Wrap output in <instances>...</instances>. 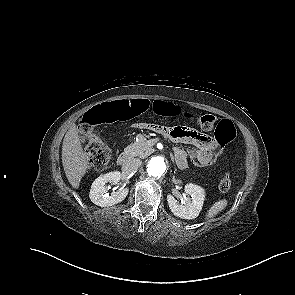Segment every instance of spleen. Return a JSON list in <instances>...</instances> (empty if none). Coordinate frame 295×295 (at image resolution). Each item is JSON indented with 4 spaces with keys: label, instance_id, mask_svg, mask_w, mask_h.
Returning a JSON list of instances; mask_svg holds the SVG:
<instances>
[{
    "label": "spleen",
    "instance_id": "3e777b00",
    "mask_svg": "<svg viewBox=\"0 0 295 295\" xmlns=\"http://www.w3.org/2000/svg\"><path fill=\"white\" fill-rule=\"evenodd\" d=\"M227 204H228V202L225 199L215 202L211 206V208L207 211L206 219L208 220V219L213 218L214 216H216L219 212H221L223 209H225Z\"/></svg>",
    "mask_w": 295,
    "mask_h": 295
}]
</instances>
